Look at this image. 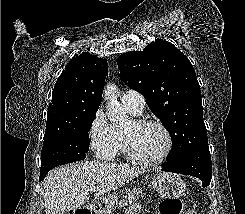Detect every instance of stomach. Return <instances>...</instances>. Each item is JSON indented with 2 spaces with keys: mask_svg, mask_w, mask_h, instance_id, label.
Masks as SVG:
<instances>
[{
  "mask_svg": "<svg viewBox=\"0 0 245 214\" xmlns=\"http://www.w3.org/2000/svg\"><path fill=\"white\" fill-rule=\"evenodd\" d=\"M151 187L157 194L166 199H178L185 194L186 184L180 176L172 173H160L151 181ZM117 197L108 199V206L114 207Z\"/></svg>",
  "mask_w": 245,
  "mask_h": 214,
  "instance_id": "obj_1",
  "label": "stomach"
}]
</instances>
